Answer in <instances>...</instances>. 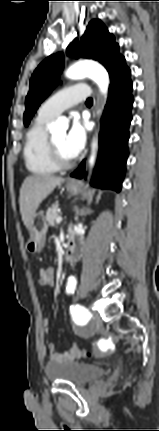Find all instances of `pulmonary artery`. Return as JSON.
<instances>
[{
	"label": "pulmonary artery",
	"instance_id": "e3ab8cb5",
	"mask_svg": "<svg viewBox=\"0 0 159 431\" xmlns=\"http://www.w3.org/2000/svg\"><path fill=\"white\" fill-rule=\"evenodd\" d=\"M90 94L91 90L86 84L77 83L67 86L48 98L41 105L39 113L54 118L66 109L86 100Z\"/></svg>",
	"mask_w": 159,
	"mask_h": 431
}]
</instances>
